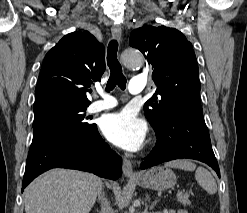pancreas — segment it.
<instances>
[{"label":"pancreas","instance_id":"1","mask_svg":"<svg viewBox=\"0 0 247 213\" xmlns=\"http://www.w3.org/2000/svg\"><path fill=\"white\" fill-rule=\"evenodd\" d=\"M177 200L182 203L183 205H190V200H189V196L186 194H182L177 196Z\"/></svg>","mask_w":247,"mask_h":213}]
</instances>
